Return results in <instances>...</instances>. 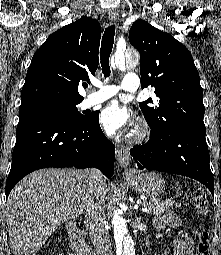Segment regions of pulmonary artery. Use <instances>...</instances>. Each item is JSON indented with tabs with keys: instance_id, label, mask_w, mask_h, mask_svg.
<instances>
[{
	"instance_id": "e3ab8cb5",
	"label": "pulmonary artery",
	"mask_w": 221,
	"mask_h": 255,
	"mask_svg": "<svg viewBox=\"0 0 221 255\" xmlns=\"http://www.w3.org/2000/svg\"><path fill=\"white\" fill-rule=\"evenodd\" d=\"M138 85H139L138 75L134 73H128L124 76V79L121 84V89H123L124 91L134 92L138 89ZM95 86L98 88V91H96L93 94H90L85 99V105L87 107L104 102L105 100L114 96L119 90L115 86L107 85L102 82H97Z\"/></svg>"
}]
</instances>
